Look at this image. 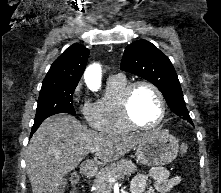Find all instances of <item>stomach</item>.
I'll list each match as a JSON object with an SVG mask.
<instances>
[{"label":"stomach","instance_id":"obj_1","mask_svg":"<svg viewBox=\"0 0 221 193\" xmlns=\"http://www.w3.org/2000/svg\"><path fill=\"white\" fill-rule=\"evenodd\" d=\"M179 141L167 131L152 132L136 147L137 160L147 166L171 163L177 156Z\"/></svg>","mask_w":221,"mask_h":193}]
</instances>
